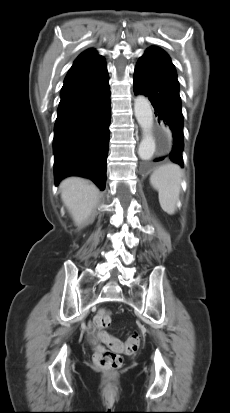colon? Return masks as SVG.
<instances>
[{
  "mask_svg": "<svg viewBox=\"0 0 230 413\" xmlns=\"http://www.w3.org/2000/svg\"><path fill=\"white\" fill-rule=\"evenodd\" d=\"M111 322V315L105 309H100L94 316V325L97 329L105 328ZM142 335L139 332L133 333L127 340L124 348L115 338L111 339V348L98 345L94 351L95 363L108 371L118 369L122 365V358L117 351L123 350L127 354L135 353L141 343Z\"/></svg>",
  "mask_w": 230,
  "mask_h": 413,
  "instance_id": "obj_1",
  "label": "colon"
}]
</instances>
